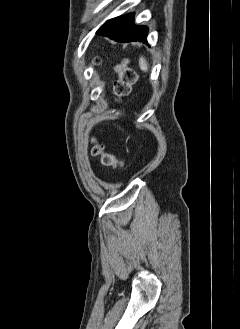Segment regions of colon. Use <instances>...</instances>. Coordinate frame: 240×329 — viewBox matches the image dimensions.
Listing matches in <instances>:
<instances>
[{
	"instance_id": "colon-1",
	"label": "colon",
	"mask_w": 240,
	"mask_h": 329,
	"mask_svg": "<svg viewBox=\"0 0 240 329\" xmlns=\"http://www.w3.org/2000/svg\"><path fill=\"white\" fill-rule=\"evenodd\" d=\"M136 80V73L127 65L126 62H122L118 67V80L114 85V94L118 98H122L129 94L131 86ZM92 154L95 156H101L102 162L108 166L122 167L123 164L120 159L110 153L104 152L100 145H95L92 150Z\"/></svg>"
}]
</instances>
